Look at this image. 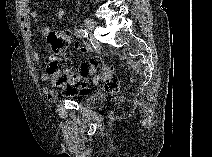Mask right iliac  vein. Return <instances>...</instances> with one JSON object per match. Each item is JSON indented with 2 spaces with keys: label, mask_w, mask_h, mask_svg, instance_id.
Masks as SVG:
<instances>
[{
  "label": "right iliac vein",
  "mask_w": 212,
  "mask_h": 157,
  "mask_svg": "<svg viewBox=\"0 0 212 157\" xmlns=\"http://www.w3.org/2000/svg\"><path fill=\"white\" fill-rule=\"evenodd\" d=\"M84 25L90 32H92L96 26L95 21H93L91 18H86L84 20Z\"/></svg>",
  "instance_id": "obj_1"
}]
</instances>
